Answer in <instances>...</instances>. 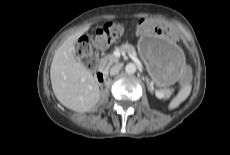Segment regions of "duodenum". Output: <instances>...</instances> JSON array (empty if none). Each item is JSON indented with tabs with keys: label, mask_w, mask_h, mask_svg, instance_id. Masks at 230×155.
I'll return each instance as SVG.
<instances>
[{
	"label": "duodenum",
	"mask_w": 230,
	"mask_h": 155,
	"mask_svg": "<svg viewBox=\"0 0 230 155\" xmlns=\"http://www.w3.org/2000/svg\"><path fill=\"white\" fill-rule=\"evenodd\" d=\"M96 79L100 83H105L108 81V74L104 68L98 69L95 73Z\"/></svg>",
	"instance_id": "410a0bca"
}]
</instances>
